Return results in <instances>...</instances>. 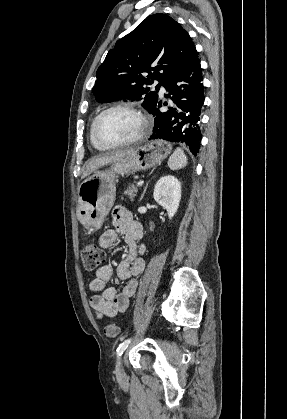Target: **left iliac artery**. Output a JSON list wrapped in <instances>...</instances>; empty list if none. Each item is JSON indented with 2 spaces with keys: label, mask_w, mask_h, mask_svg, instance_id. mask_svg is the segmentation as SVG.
Listing matches in <instances>:
<instances>
[{
  "label": "left iliac artery",
  "mask_w": 287,
  "mask_h": 419,
  "mask_svg": "<svg viewBox=\"0 0 287 419\" xmlns=\"http://www.w3.org/2000/svg\"><path fill=\"white\" fill-rule=\"evenodd\" d=\"M129 343L130 339H127L119 345V347L117 348V356H121L123 354L125 349L128 347Z\"/></svg>",
  "instance_id": "obj_1"
}]
</instances>
